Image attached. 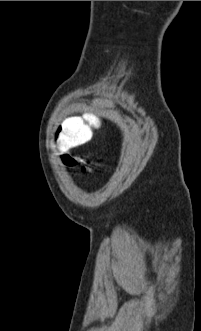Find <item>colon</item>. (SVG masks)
<instances>
[{"label": "colon", "instance_id": "obj_1", "mask_svg": "<svg viewBox=\"0 0 201 331\" xmlns=\"http://www.w3.org/2000/svg\"><path fill=\"white\" fill-rule=\"evenodd\" d=\"M101 124L94 114L68 117L58 126L55 133L57 144L68 149L88 143L92 138V131L100 128ZM66 165L76 167L80 161L69 155L64 156Z\"/></svg>", "mask_w": 201, "mask_h": 331}]
</instances>
